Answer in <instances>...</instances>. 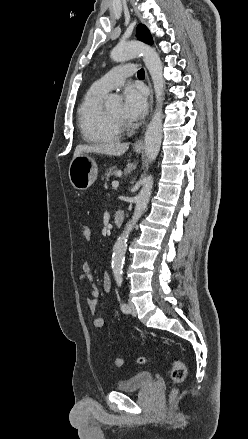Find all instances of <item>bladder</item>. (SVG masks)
<instances>
[{
	"label": "bladder",
	"mask_w": 248,
	"mask_h": 439,
	"mask_svg": "<svg viewBox=\"0 0 248 439\" xmlns=\"http://www.w3.org/2000/svg\"><path fill=\"white\" fill-rule=\"evenodd\" d=\"M154 381V375L148 371H141L132 377L116 383L115 388L121 392H133L150 386Z\"/></svg>",
	"instance_id": "obj_1"
}]
</instances>
